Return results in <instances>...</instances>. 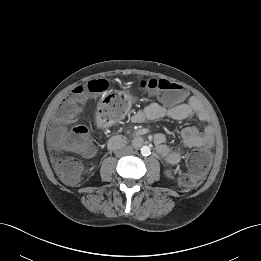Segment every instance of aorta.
I'll return each instance as SVG.
<instances>
[{
    "label": "aorta",
    "instance_id": "obj_1",
    "mask_svg": "<svg viewBox=\"0 0 261 261\" xmlns=\"http://www.w3.org/2000/svg\"><path fill=\"white\" fill-rule=\"evenodd\" d=\"M140 150H141V154L144 155V156H148L151 153L149 146H143Z\"/></svg>",
    "mask_w": 261,
    "mask_h": 261
}]
</instances>
